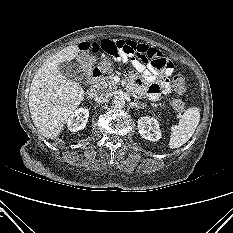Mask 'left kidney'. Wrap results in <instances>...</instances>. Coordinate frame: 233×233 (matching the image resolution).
Returning a JSON list of instances; mask_svg holds the SVG:
<instances>
[{"label": "left kidney", "instance_id": "obj_1", "mask_svg": "<svg viewBox=\"0 0 233 233\" xmlns=\"http://www.w3.org/2000/svg\"><path fill=\"white\" fill-rule=\"evenodd\" d=\"M138 130L142 138L150 141H158L162 134L159 122L154 117H141L137 121Z\"/></svg>", "mask_w": 233, "mask_h": 233}]
</instances>
